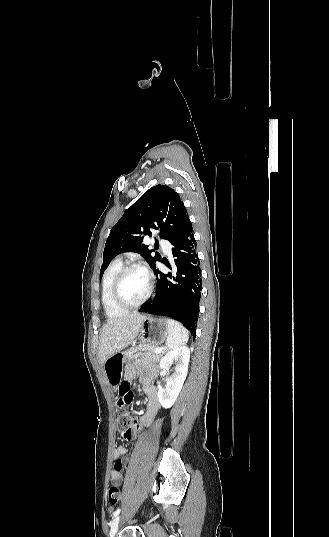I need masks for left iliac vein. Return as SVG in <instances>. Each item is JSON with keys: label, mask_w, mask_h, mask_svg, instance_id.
<instances>
[{"label": "left iliac vein", "mask_w": 329, "mask_h": 537, "mask_svg": "<svg viewBox=\"0 0 329 537\" xmlns=\"http://www.w3.org/2000/svg\"><path fill=\"white\" fill-rule=\"evenodd\" d=\"M119 523H120V516H116V518L112 521L110 532H109V537L115 536L119 528Z\"/></svg>", "instance_id": "left-iliac-vein-1"}]
</instances>
